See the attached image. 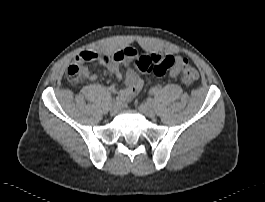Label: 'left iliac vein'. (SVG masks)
I'll return each mask as SVG.
<instances>
[{"mask_svg":"<svg viewBox=\"0 0 265 202\" xmlns=\"http://www.w3.org/2000/svg\"><path fill=\"white\" fill-rule=\"evenodd\" d=\"M140 113L148 116L149 118H153L156 114L155 108L151 101H145L141 103L138 107Z\"/></svg>","mask_w":265,"mask_h":202,"instance_id":"4c4485c4","label":"left iliac vein"}]
</instances>
